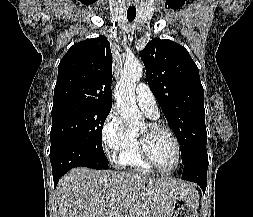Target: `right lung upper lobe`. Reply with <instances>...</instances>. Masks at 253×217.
<instances>
[{
  "label": "right lung upper lobe",
  "mask_w": 253,
  "mask_h": 217,
  "mask_svg": "<svg viewBox=\"0 0 253 217\" xmlns=\"http://www.w3.org/2000/svg\"><path fill=\"white\" fill-rule=\"evenodd\" d=\"M112 54L105 36L74 44L58 66L53 104L77 101L112 106Z\"/></svg>",
  "instance_id": "1"
}]
</instances>
